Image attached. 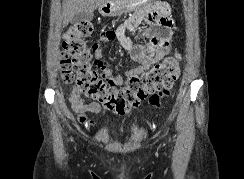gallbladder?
I'll return each instance as SVG.
<instances>
[{
    "mask_svg": "<svg viewBox=\"0 0 244 179\" xmlns=\"http://www.w3.org/2000/svg\"><path fill=\"white\" fill-rule=\"evenodd\" d=\"M94 14L92 12H89V14H85V12H81V14H76L72 20H70L71 24H80V22H90V20H93Z\"/></svg>",
    "mask_w": 244,
    "mask_h": 179,
    "instance_id": "bac80fb5",
    "label": "gallbladder"
}]
</instances>
